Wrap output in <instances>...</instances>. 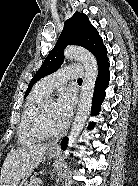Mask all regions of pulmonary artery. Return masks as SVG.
<instances>
[{
  "mask_svg": "<svg viewBox=\"0 0 138 186\" xmlns=\"http://www.w3.org/2000/svg\"><path fill=\"white\" fill-rule=\"evenodd\" d=\"M84 75V68L80 65L66 66L58 71L46 76L40 82L47 92H52L55 88L64 84L68 80L80 78Z\"/></svg>",
  "mask_w": 138,
  "mask_h": 186,
  "instance_id": "obj_1",
  "label": "pulmonary artery"
}]
</instances>
